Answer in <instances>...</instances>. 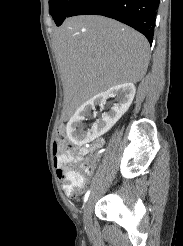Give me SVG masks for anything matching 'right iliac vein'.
<instances>
[{"label":"right iliac vein","mask_w":183,"mask_h":246,"mask_svg":"<svg viewBox=\"0 0 183 246\" xmlns=\"http://www.w3.org/2000/svg\"><path fill=\"white\" fill-rule=\"evenodd\" d=\"M91 198L87 201L84 208V223L86 228L91 226Z\"/></svg>","instance_id":"right-iliac-vein-1"}]
</instances>
